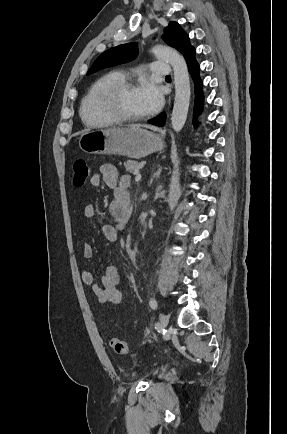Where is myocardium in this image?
Here are the masks:
<instances>
[{
    "label": "myocardium",
    "mask_w": 287,
    "mask_h": 434,
    "mask_svg": "<svg viewBox=\"0 0 287 434\" xmlns=\"http://www.w3.org/2000/svg\"><path fill=\"white\" fill-rule=\"evenodd\" d=\"M136 89V85L131 81H122L106 87L99 98L102 110L116 122L135 123L144 120L147 115L130 116L125 114L120 105L122 94L129 90Z\"/></svg>",
    "instance_id": "myocardium-1"
}]
</instances>
